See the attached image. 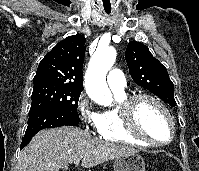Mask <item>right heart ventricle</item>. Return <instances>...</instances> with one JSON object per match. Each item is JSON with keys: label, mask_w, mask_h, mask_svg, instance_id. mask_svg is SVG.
<instances>
[{"label": "right heart ventricle", "mask_w": 199, "mask_h": 171, "mask_svg": "<svg viewBox=\"0 0 199 171\" xmlns=\"http://www.w3.org/2000/svg\"><path fill=\"white\" fill-rule=\"evenodd\" d=\"M114 95L117 101V106L101 113V122L98 129L100 137L113 142L150 146L149 144L129 134L124 127L120 105L127 97L126 92L124 90L119 92L114 91Z\"/></svg>", "instance_id": "e07e8e85"}]
</instances>
